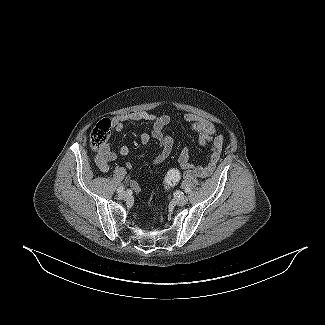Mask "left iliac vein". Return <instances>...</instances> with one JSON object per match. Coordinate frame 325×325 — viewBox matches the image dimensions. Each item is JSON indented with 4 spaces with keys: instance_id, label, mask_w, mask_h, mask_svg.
<instances>
[{
    "instance_id": "obj_1",
    "label": "left iliac vein",
    "mask_w": 325,
    "mask_h": 325,
    "mask_svg": "<svg viewBox=\"0 0 325 325\" xmlns=\"http://www.w3.org/2000/svg\"><path fill=\"white\" fill-rule=\"evenodd\" d=\"M187 202H188V198L185 195H181L175 199V203L179 206H183L187 204Z\"/></svg>"
}]
</instances>
